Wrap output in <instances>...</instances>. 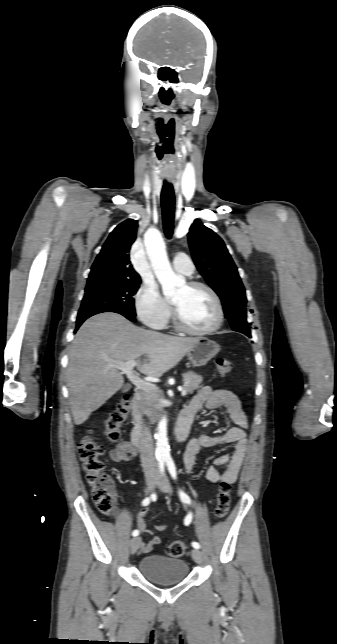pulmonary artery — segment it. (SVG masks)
Here are the masks:
<instances>
[{
    "mask_svg": "<svg viewBox=\"0 0 337 644\" xmlns=\"http://www.w3.org/2000/svg\"><path fill=\"white\" fill-rule=\"evenodd\" d=\"M174 269L184 275H191L194 271V266L190 258L185 254H178L173 259Z\"/></svg>",
    "mask_w": 337,
    "mask_h": 644,
    "instance_id": "e3ab8cb5",
    "label": "pulmonary artery"
}]
</instances>
